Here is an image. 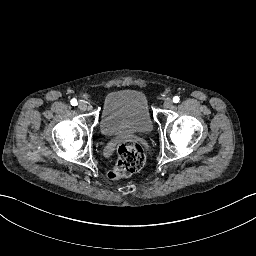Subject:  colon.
<instances>
[{
	"instance_id": "obj_1",
	"label": "colon",
	"mask_w": 256,
	"mask_h": 256,
	"mask_svg": "<svg viewBox=\"0 0 256 256\" xmlns=\"http://www.w3.org/2000/svg\"><path fill=\"white\" fill-rule=\"evenodd\" d=\"M117 153L118 159L115 167L106 174V177L110 180L131 176L145 164L146 157L144 151L133 140H126L120 143Z\"/></svg>"
}]
</instances>
